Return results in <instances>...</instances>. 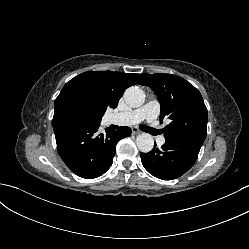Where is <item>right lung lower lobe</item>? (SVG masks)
I'll return each instance as SVG.
<instances>
[{"mask_svg": "<svg viewBox=\"0 0 249 249\" xmlns=\"http://www.w3.org/2000/svg\"><path fill=\"white\" fill-rule=\"evenodd\" d=\"M52 125L62 160L76 175L86 179L103 175L112 165L118 141L131 134L126 126L117 131L106 128L105 134H98L99 124L85 125L66 119L53 120Z\"/></svg>", "mask_w": 249, "mask_h": 249, "instance_id": "right-lung-lower-lobe-1", "label": "right lung lower lobe"}]
</instances>
